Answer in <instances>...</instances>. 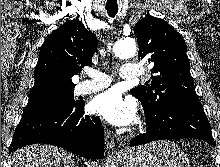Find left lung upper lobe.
I'll return each mask as SVG.
<instances>
[{
    "instance_id": "5c2ea615",
    "label": "left lung upper lobe",
    "mask_w": 220,
    "mask_h": 167,
    "mask_svg": "<svg viewBox=\"0 0 220 167\" xmlns=\"http://www.w3.org/2000/svg\"><path fill=\"white\" fill-rule=\"evenodd\" d=\"M139 45V59L148 58L152 77L131 94L149 111L158 110L172 99L199 101L190 74L186 44L166 21L147 15L134 29Z\"/></svg>"
}]
</instances>
